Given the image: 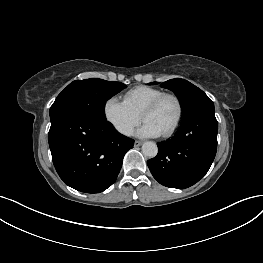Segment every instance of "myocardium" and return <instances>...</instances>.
<instances>
[{
  "label": "myocardium",
  "instance_id": "1",
  "mask_svg": "<svg viewBox=\"0 0 263 263\" xmlns=\"http://www.w3.org/2000/svg\"><path fill=\"white\" fill-rule=\"evenodd\" d=\"M167 98H172L175 100L177 104L178 112H177L176 119L174 123L172 124V126L166 132L161 134L165 138L172 136L181 124L183 114H184V107H183L181 98L175 93H163L157 98H155L154 100H152L150 103H148L144 107L141 113V118L144 120V115L146 113L155 110Z\"/></svg>",
  "mask_w": 263,
  "mask_h": 263
}]
</instances>
